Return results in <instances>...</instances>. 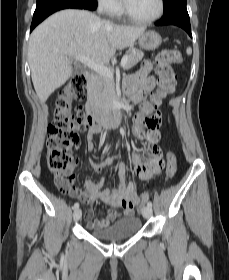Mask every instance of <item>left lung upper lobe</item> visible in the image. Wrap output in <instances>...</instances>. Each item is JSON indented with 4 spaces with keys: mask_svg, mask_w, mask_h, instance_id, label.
<instances>
[{
    "mask_svg": "<svg viewBox=\"0 0 229 280\" xmlns=\"http://www.w3.org/2000/svg\"><path fill=\"white\" fill-rule=\"evenodd\" d=\"M187 0H164V12L167 13L170 10L174 9L178 3L186 4Z\"/></svg>",
    "mask_w": 229,
    "mask_h": 280,
    "instance_id": "left-lung-upper-lobe-1",
    "label": "left lung upper lobe"
}]
</instances>
